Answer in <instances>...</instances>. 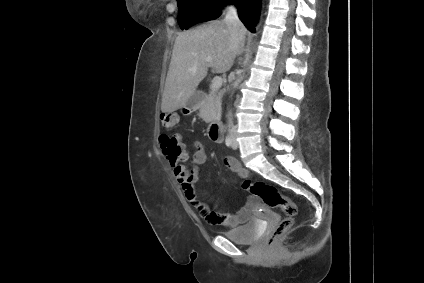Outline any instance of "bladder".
<instances>
[{"label":"bladder","instance_id":"31cf9c89","mask_svg":"<svg viewBox=\"0 0 424 283\" xmlns=\"http://www.w3.org/2000/svg\"><path fill=\"white\" fill-rule=\"evenodd\" d=\"M259 233V222L255 219H252L246 224L228 231L225 236L231 242L236 244H251L258 238Z\"/></svg>","mask_w":424,"mask_h":283}]
</instances>
